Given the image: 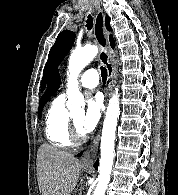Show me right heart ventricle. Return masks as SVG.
I'll return each instance as SVG.
<instances>
[{
    "label": "right heart ventricle",
    "instance_id": "e07e8e85",
    "mask_svg": "<svg viewBox=\"0 0 178 195\" xmlns=\"http://www.w3.org/2000/svg\"><path fill=\"white\" fill-rule=\"evenodd\" d=\"M64 95L57 96L50 104L45 116V135L55 147L67 148L72 146L69 135V113L65 107Z\"/></svg>",
    "mask_w": 178,
    "mask_h": 195
}]
</instances>
